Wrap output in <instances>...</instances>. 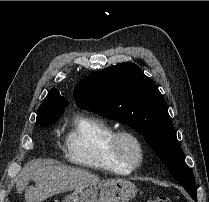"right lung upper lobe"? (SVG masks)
Wrapping results in <instances>:
<instances>
[{"instance_id": "1", "label": "right lung upper lobe", "mask_w": 209, "mask_h": 202, "mask_svg": "<svg viewBox=\"0 0 209 202\" xmlns=\"http://www.w3.org/2000/svg\"><path fill=\"white\" fill-rule=\"evenodd\" d=\"M42 105L45 106L44 109L66 108L68 106V101L66 100V98H64L60 95L59 91L56 88H52L40 106H42ZM37 122L43 123V120L36 119V123Z\"/></svg>"}]
</instances>
